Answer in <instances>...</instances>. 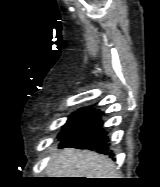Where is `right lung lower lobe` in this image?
Wrapping results in <instances>:
<instances>
[{
	"mask_svg": "<svg viewBox=\"0 0 160 187\" xmlns=\"http://www.w3.org/2000/svg\"><path fill=\"white\" fill-rule=\"evenodd\" d=\"M102 127L103 122L100 120L99 111H96L79 129L61 139L59 147L95 149L99 153L108 154L113 157L114 154L108 150L107 133Z\"/></svg>",
	"mask_w": 160,
	"mask_h": 187,
	"instance_id": "98d812e1",
	"label": "right lung lower lobe"
}]
</instances>
